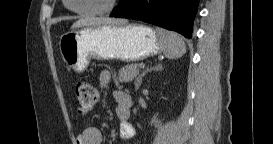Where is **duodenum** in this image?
<instances>
[{"mask_svg":"<svg viewBox=\"0 0 273 144\" xmlns=\"http://www.w3.org/2000/svg\"><path fill=\"white\" fill-rule=\"evenodd\" d=\"M131 104H132V101L130 98H128L127 100L124 101V105L127 107V108H130L131 107Z\"/></svg>","mask_w":273,"mask_h":144,"instance_id":"duodenum-1","label":"duodenum"}]
</instances>
